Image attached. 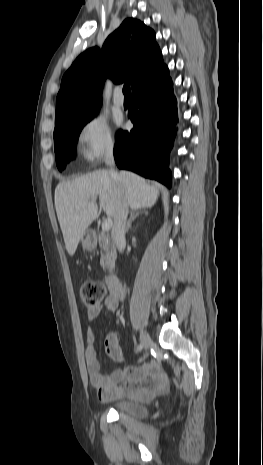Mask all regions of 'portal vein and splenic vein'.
Instances as JSON below:
<instances>
[{
  "label": "portal vein and splenic vein",
  "instance_id": "obj_1",
  "mask_svg": "<svg viewBox=\"0 0 263 465\" xmlns=\"http://www.w3.org/2000/svg\"><path fill=\"white\" fill-rule=\"evenodd\" d=\"M96 198H93L92 201H95ZM112 218L110 216H108L106 219L103 220V223H102V230L103 231H109L112 227Z\"/></svg>",
  "mask_w": 263,
  "mask_h": 465
}]
</instances>
